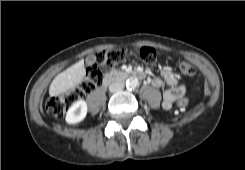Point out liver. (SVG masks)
<instances>
[{
    "mask_svg": "<svg viewBox=\"0 0 245 170\" xmlns=\"http://www.w3.org/2000/svg\"><path fill=\"white\" fill-rule=\"evenodd\" d=\"M85 74L84 61L80 60L54 78L49 88L50 96H57L74 88L82 82Z\"/></svg>",
    "mask_w": 245,
    "mask_h": 170,
    "instance_id": "6515ba94",
    "label": "liver"
}]
</instances>
